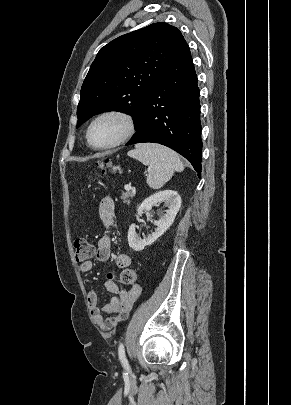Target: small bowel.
Here are the masks:
<instances>
[{
	"label": "small bowel",
	"instance_id": "small-bowel-1",
	"mask_svg": "<svg viewBox=\"0 0 291 405\" xmlns=\"http://www.w3.org/2000/svg\"><path fill=\"white\" fill-rule=\"evenodd\" d=\"M99 215L106 227L114 225L115 203L112 198L105 197L101 200ZM95 257L100 262H105L111 257V238L108 235H103L99 238ZM115 262L119 268H127L131 265V258L125 253H119L115 258ZM91 269L92 262L90 261L82 263L79 266L80 272L84 274L89 273ZM104 286L107 291L113 294L112 299L99 306L97 293L91 290L88 293V302L93 321L102 330L107 331L115 328L119 323L128 318L135 301L141 294V287L135 284L129 289H122L110 278H107Z\"/></svg>",
	"mask_w": 291,
	"mask_h": 405
}]
</instances>
